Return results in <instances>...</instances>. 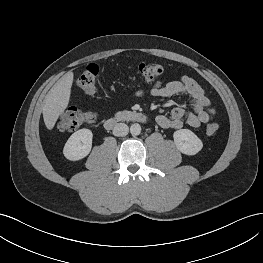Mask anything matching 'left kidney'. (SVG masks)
Instances as JSON below:
<instances>
[{
    "instance_id": "1",
    "label": "left kidney",
    "mask_w": 263,
    "mask_h": 263,
    "mask_svg": "<svg viewBox=\"0 0 263 263\" xmlns=\"http://www.w3.org/2000/svg\"><path fill=\"white\" fill-rule=\"evenodd\" d=\"M177 149L186 155H195L203 147L202 141L189 129H180L173 134Z\"/></svg>"
}]
</instances>
